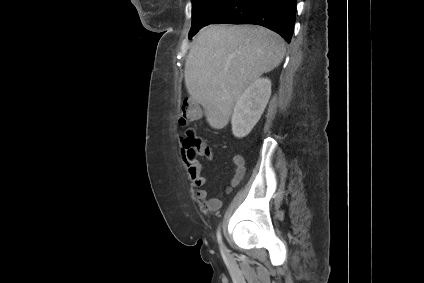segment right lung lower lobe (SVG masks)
Masks as SVG:
<instances>
[{
    "label": "right lung lower lobe",
    "mask_w": 424,
    "mask_h": 283,
    "mask_svg": "<svg viewBox=\"0 0 424 283\" xmlns=\"http://www.w3.org/2000/svg\"><path fill=\"white\" fill-rule=\"evenodd\" d=\"M295 16L296 0H228L205 26L212 23L261 25L277 32L289 43Z\"/></svg>",
    "instance_id": "right-lung-lower-lobe-1"
}]
</instances>
